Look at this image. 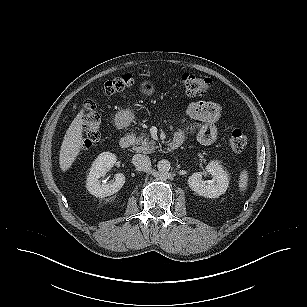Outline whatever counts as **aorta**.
<instances>
[{
  "label": "aorta",
  "mask_w": 307,
  "mask_h": 307,
  "mask_svg": "<svg viewBox=\"0 0 307 307\" xmlns=\"http://www.w3.org/2000/svg\"><path fill=\"white\" fill-rule=\"evenodd\" d=\"M157 168H158V171L161 172V173H167L170 168H171V165H170V162L166 159H163V160H160L157 164Z\"/></svg>",
  "instance_id": "762f6f07"
}]
</instances>
